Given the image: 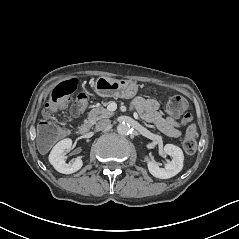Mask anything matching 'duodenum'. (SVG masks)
Returning <instances> with one entry per match:
<instances>
[{
	"mask_svg": "<svg viewBox=\"0 0 239 239\" xmlns=\"http://www.w3.org/2000/svg\"><path fill=\"white\" fill-rule=\"evenodd\" d=\"M89 130H90V124L89 123H83L78 128V132L81 135L87 134L89 132Z\"/></svg>",
	"mask_w": 239,
	"mask_h": 239,
	"instance_id": "duodenum-1",
	"label": "duodenum"
}]
</instances>
